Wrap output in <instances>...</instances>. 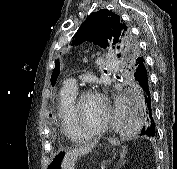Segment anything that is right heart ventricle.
<instances>
[{"instance_id":"e07e8e85","label":"right heart ventricle","mask_w":177,"mask_h":169,"mask_svg":"<svg viewBox=\"0 0 177 169\" xmlns=\"http://www.w3.org/2000/svg\"><path fill=\"white\" fill-rule=\"evenodd\" d=\"M78 94L77 90L62 87L58 99V118L63 135L70 141H79L84 138L77 136L72 119V105Z\"/></svg>"}]
</instances>
